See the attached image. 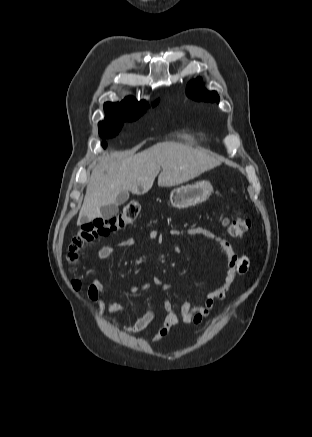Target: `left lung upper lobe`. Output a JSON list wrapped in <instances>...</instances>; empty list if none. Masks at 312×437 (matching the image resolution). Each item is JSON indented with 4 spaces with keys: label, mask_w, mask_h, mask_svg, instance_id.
<instances>
[{
    "label": "left lung upper lobe",
    "mask_w": 312,
    "mask_h": 437,
    "mask_svg": "<svg viewBox=\"0 0 312 437\" xmlns=\"http://www.w3.org/2000/svg\"><path fill=\"white\" fill-rule=\"evenodd\" d=\"M186 93L190 98L196 101L219 103L220 100L218 94L215 91L209 92L204 88L202 80L200 78L196 81H192L189 83Z\"/></svg>",
    "instance_id": "5c2ea615"
}]
</instances>
